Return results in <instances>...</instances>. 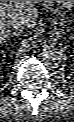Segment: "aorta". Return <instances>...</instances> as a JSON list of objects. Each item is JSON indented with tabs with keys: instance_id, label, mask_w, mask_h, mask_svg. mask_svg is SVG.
<instances>
[{
	"instance_id": "aorta-1",
	"label": "aorta",
	"mask_w": 74,
	"mask_h": 122,
	"mask_svg": "<svg viewBox=\"0 0 74 122\" xmlns=\"http://www.w3.org/2000/svg\"><path fill=\"white\" fill-rule=\"evenodd\" d=\"M42 61L51 68L59 67L64 61L61 50L54 45H45L41 50Z\"/></svg>"
}]
</instances>
